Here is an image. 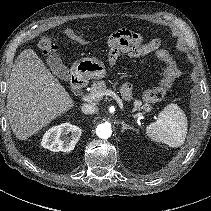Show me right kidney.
I'll list each match as a JSON object with an SVG mask.
<instances>
[{"label": "right kidney", "mask_w": 211, "mask_h": 211, "mask_svg": "<svg viewBox=\"0 0 211 211\" xmlns=\"http://www.w3.org/2000/svg\"><path fill=\"white\" fill-rule=\"evenodd\" d=\"M70 132L71 136L66 137L65 135ZM81 134L82 130L78 126L70 123H63L46 131L42 138L41 145L53 152H69L74 149Z\"/></svg>", "instance_id": "ca27d5eb"}]
</instances>
